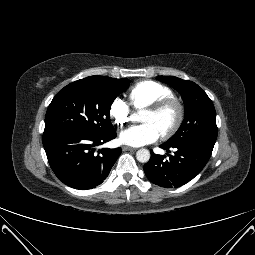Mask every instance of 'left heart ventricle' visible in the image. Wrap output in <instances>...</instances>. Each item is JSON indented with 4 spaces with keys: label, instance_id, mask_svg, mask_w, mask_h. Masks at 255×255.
<instances>
[{
    "label": "left heart ventricle",
    "instance_id": "1",
    "mask_svg": "<svg viewBox=\"0 0 255 255\" xmlns=\"http://www.w3.org/2000/svg\"><path fill=\"white\" fill-rule=\"evenodd\" d=\"M175 116L176 111L172 107L161 113H153L146 110L141 117V121L154 125L162 133L173 123Z\"/></svg>",
    "mask_w": 255,
    "mask_h": 255
}]
</instances>
